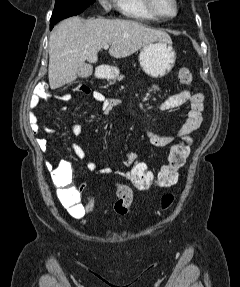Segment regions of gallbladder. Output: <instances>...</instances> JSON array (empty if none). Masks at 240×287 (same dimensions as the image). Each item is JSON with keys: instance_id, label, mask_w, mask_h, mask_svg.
Listing matches in <instances>:
<instances>
[{"instance_id": "gallbladder-1", "label": "gallbladder", "mask_w": 240, "mask_h": 287, "mask_svg": "<svg viewBox=\"0 0 240 287\" xmlns=\"http://www.w3.org/2000/svg\"><path fill=\"white\" fill-rule=\"evenodd\" d=\"M93 68L89 64H84L79 70H78V76L81 78H88L92 74Z\"/></svg>"}]
</instances>
